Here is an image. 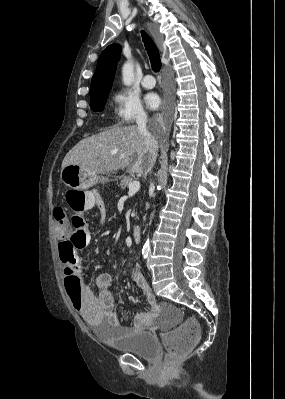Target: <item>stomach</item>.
Here are the masks:
<instances>
[{
    "mask_svg": "<svg viewBox=\"0 0 285 399\" xmlns=\"http://www.w3.org/2000/svg\"><path fill=\"white\" fill-rule=\"evenodd\" d=\"M60 177L67 187L74 190H85L101 181L97 175L90 173L78 165L63 167Z\"/></svg>",
    "mask_w": 285,
    "mask_h": 399,
    "instance_id": "obj_1",
    "label": "stomach"
}]
</instances>
